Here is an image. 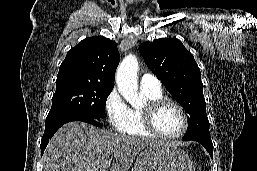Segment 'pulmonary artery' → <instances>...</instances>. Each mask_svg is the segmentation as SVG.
<instances>
[{"mask_svg":"<svg viewBox=\"0 0 257 171\" xmlns=\"http://www.w3.org/2000/svg\"><path fill=\"white\" fill-rule=\"evenodd\" d=\"M140 86L144 89H150V90H159L161 89V83L158 80V78L151 74V73H145L142 75L140 79Z\"/></svg>","mask_w":257,"mask_h":171,"instance_id":"1","label":"pulmonary artery"}]
</instances>
